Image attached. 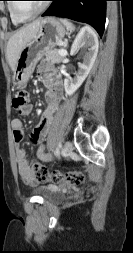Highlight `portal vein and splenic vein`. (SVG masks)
Wrapping results in <instances>:
<instances>
[{"label": "portal vein and splenic vein", "mask_w": 133, "mask_h": 253, "mask_svg": "<svg viewBox=\"0 0 133 253\" xmlns=\"http://www.w3.org/2000/svg\"><path fill=\"white\" fill-rule=\"evenodd\" d=\"M60 55L62 56H66L67 55V51L65 49H61L58 51Z\"/></svg>", "instance_id": "portal-vein-and-splenic-vein-1"}]
</instances>
